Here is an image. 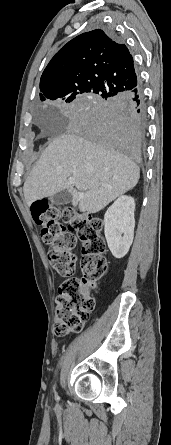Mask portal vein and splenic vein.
Returning <instances> with one entry per match:
<instances>
[{
  "label": "portal vein and splenic vein",
  "mask_w": 171,
  "mask_h": 445,
  "mask_svg": "<svg viewBox=\"0 0 171 445\" xmlns=\"http://www.w3.org/2000/svg\"><path fill=\"white\" fill-rule=\"evenodd\" d=\"M68 182H69V184H75V179H73V178H69V179H68ZM79 196H80V197L83 196V192H82V191L79 192Z\"/></svg>",
  "instance_id": "portal-vein-and-splenic-vein-1"
}]
</instances>
